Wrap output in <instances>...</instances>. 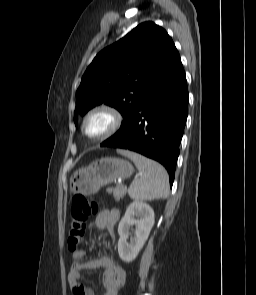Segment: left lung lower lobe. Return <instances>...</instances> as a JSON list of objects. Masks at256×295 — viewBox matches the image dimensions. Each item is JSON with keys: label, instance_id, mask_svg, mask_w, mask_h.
Returning <instances> with one entry per match:
<instances>
[{"label": "left lung lower lobe", "instance_id": "0a47b994", "mask_svg": "<svg viewBox=\"0 0 256 295\" xmlns=\"http://www.w3.org/2000/svg\"><path fill=\"white\" fill-rule=\"evenodd\" d=\"M187 116V81L180 62L101 146L128 149L160 162L169 173L171 186Z\"/></svg>", "mask_w": 256, "mask_h": 295}]
</instances>
